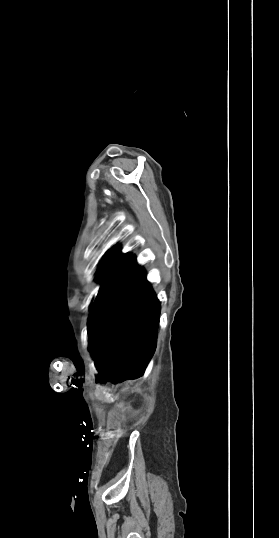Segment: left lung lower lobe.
I'll return each mask as SVG.
<instances>
[{
	"instance_id": "left-lung-lower-lobe-1",
	"label": "left lung lower lobe",
	"mask_w": 279,
	"mask_h": 538,
	"mask_svg": "<svg viewBox=\"0 0 279 538\" xmlns=\"http://www.w3.org/2000/svg\"><path fill=\"white\" fill-rule=\"evenodd\" d=\"M160 303L134 256L105 283L91 307L89 350L100 382L143 375L157 342Z\"/></svg>"
}]
</instances>
